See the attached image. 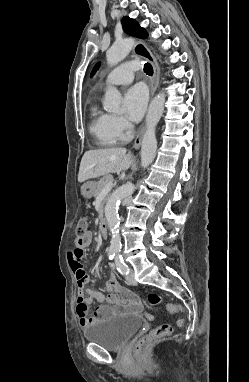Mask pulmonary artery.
Instances as JSON below:
<instances>
[{
	"instance_id": "obj_1",
	"label": "pulmonary artery",
	"mask_w": 249,
	"mask_h": 382,
	"mask_svg": "<svg viewBox=\"0 0 249 382\" xmlns=\"http://www.w3.org/2000/svg\"><path fill=\"white\" fill-rule=\"evenodd\" d=\"M139 69L137 61L123 63L111 71L105 80L108 85H125L134 79V72Z\"/></svg>"
}]
</instances>
